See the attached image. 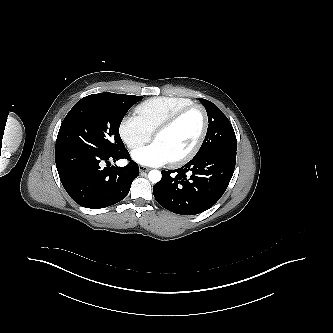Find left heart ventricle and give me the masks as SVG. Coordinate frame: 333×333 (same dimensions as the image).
<instances>
[{"mask_svg":"<svg viewBox=\"0 0 333 333\" xmlns=\"http://www.w3.org/2000/svg\"><path fill=\"white\" fill-rule=\"evenodd\" d=\"M202 124L201 112L192 110L172 128L159 134L154 141L163 147L170 160L175 159L193 147L200 135Z\"/></svg>","mask_w":333,"mask_h":333,"instance_id":"1","label":"left heart ventricle"}]
</instances>
